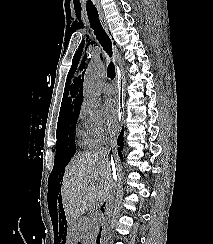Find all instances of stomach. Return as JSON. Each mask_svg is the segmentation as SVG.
Instances as JSON below:
<instances>
[{"instance_id": "stomach-1", "label": "stomach", "mask_w": 213, "mask_h": 244, "mask_svg": "<svg viewBox=\"0 0 213 244\" xmlns=\"http://www.w3.org/2000/svg\"><path fill=\"white\" fill-rule=\"evenodd\" d=\"M68 239H65V244H79L82 230L80 229V221H69L67 226Z\"/></svg>"}]
</instances>
